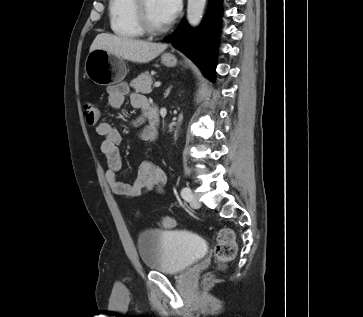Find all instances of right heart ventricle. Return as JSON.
<instances>
[{
    "mask_svg": "<svg viewBox=\"0 0 363 317\" xmlns=\"http://www.w3.org/2000/svg\"><path fill=\"white\" fill-rule=\"evenodd\" d=\"M134 0H109V20L111 30L124 38L142 37L144 32L134 16Z\"/></svg>",
    "mask_w": 363,
    "mask_h": 317,
    "instance_id": "obj_1",
    "label": "right heart ventricle"
}]
</instances>
